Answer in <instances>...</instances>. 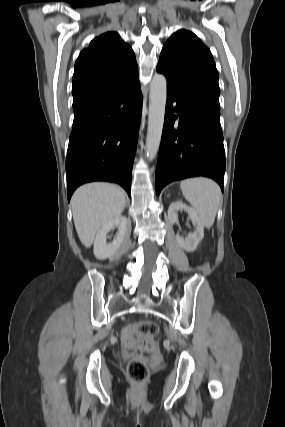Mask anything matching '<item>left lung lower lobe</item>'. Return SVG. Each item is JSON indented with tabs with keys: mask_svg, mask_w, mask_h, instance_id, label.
<instances>
[{
	"mask_svg": "<svg viewBox=\"0 0 285 427\" xmlns=\"http://www.w3.org/2000/svg\"><path fill=\"white\" fill-rule=\"evenodd\" d=\"M157 71L167 79V102L156 193L172 181L194 176L213 178L223 191L225 154L219 98L171 75L162 65Z\"/></svg>",
	"mask_w": 285,
	"mask_h": 427,
	"instance_id": "1",
	"label": "left lung lower lobe"
}]
</instances>
